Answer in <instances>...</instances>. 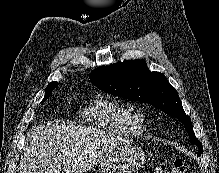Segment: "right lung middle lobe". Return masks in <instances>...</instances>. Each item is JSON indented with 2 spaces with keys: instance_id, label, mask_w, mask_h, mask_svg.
Here are the masks:
<instances>
[{
  "instance_id": "dd1d6c3e",
  "label": "right lung middle lobe",
  "mask_w": 219,
  "mask_h": 173,
  "mask_svg": "<svg viewBox=\"0 0 219 173\" xmlns=\"http://www.w3.org/2000/svg\"><path fill=\"white\" fill-rule=\"evenodd\" d=\"M58 84H55V85H51V86H47L46 90H45V98L43 99V101H45L50 93L52 92V90L57 86Z\"/></svg>"
}]
</instances>
